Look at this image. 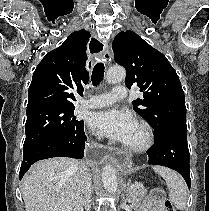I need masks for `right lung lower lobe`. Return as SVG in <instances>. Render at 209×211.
<instances>
[{
  "instance_id": "1",
  "label": "right lung lower lobe",
  "mask_w": 209,
  "mask_h": 211,
  "mask_svg": "<svg viewBox=\"0 0 209 211\" xmlns=\"http://www.w3.org/2000/svg\"><path fill=\"white\" fill-rule=\"evenodd\" d=\"M86 140L83 129L76 134L53 138L29 150L23 154V161L19 172L20 180L30 166L38 160L52 157L83 158L84 142Z\"/></svg>"
}]
</instances>
